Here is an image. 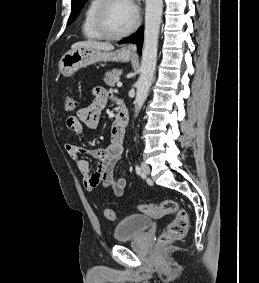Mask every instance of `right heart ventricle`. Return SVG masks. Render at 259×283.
I'll return each instance as SVG.
<instances>
[{
    "mask_svg": "<svg viewBox=\"0 0 259 283\" xmlns=\"http://www.w3.org/2000/svg\"><path fill=\"white\" fill-rule=\"evenodd\" d=\"M100 2L101 0H90L84 11L82 33L87 39L98 40L103 38L95 27V13Z\"/></svg>",
    "mask_w": 259,
    "mask_h": 283,
    "instance_id": "obj_1",
    "label": "right heart ventricle"
}]
</instances>
